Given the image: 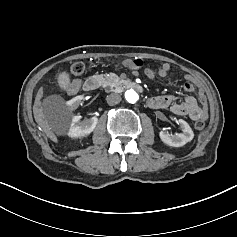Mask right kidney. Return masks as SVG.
I'll list each match as a JSON object with an SVG mask.
<instances>
[{"mask_svg":"<svg viewBox=\"0 0 237 237\" xmlns=\"http://www.w3.org/2000/svg\"><path fill=\"white\" fill-rule=\"evenodd\" d=\"M82 99V96H77L68 102V106L70 107L72 112H75L76 109L80 106ZM97 122L98 120L95 117L82 122L81 116L74 115L72 116L71 123L67 131V136L72 139L84 138L93 132V130L97 126Z\"/></svg>","mask_w":237,"mask_h":237,"instance_id":"right-kidney-1","label":"right kidney"}]
</instances>
